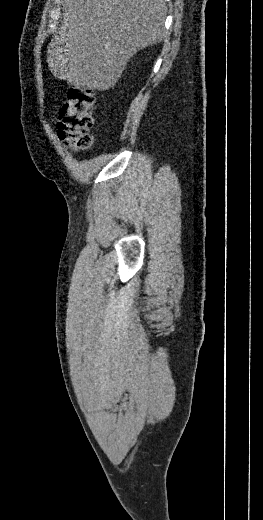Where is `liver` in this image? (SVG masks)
Segmentation results:
<instances>
[{
    "mask_svg": "<svg viewBox=\"0 0 263 520\" xmlns=\"http://www.w3.org/2000/svg\"><path fill=\"white\" fill-rule=\"evenodd\" d=\"M62 9L47 62L56 78L78 89L114 87L129 59L166 34L164 0H63Z\"/></svg>",
    "mask_w": 263,
    "mask_h": 520,
    "instance_id": "6515ba94",
    "label": "liver"
}]
</instances>
